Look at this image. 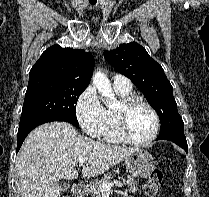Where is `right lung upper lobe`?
<instances>
[{"label": "right lung upper lobe", "mask_w": 209, "mask_h": 197, "mask_svg": "<svg viewBox=\"0 0 209 197\" xmlns=\"http://www.w3.org/2000/svg\"><path fill=\"white\" fill-rule=\"evenodd\" d=\"M95 61L81 49L53 45L46 49L29 73V82L57 81L88 86Z\"/></svg>", "instance_id": "right-lung-upper-lobe-1"}]
</instances>
